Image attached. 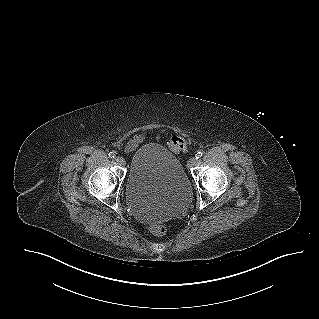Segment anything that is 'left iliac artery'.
Wrapping results in <instances>:
<instances>
[{
	"instance_id": "1",
	"label": "left iliac artery",
	"mask_w": 319,
	"mask_h": 319,
	"mask_svg": "<svg viewBox=\"0 0 319 319\" xmlns=\"http://www.w3.org/2000/svg\"><path fill=\"white\" fill-rule=\"evenodd\" d=\"M203 156V152L199 151L197 152V154L195 155L196 159H199Z\"/></svg>"
}]
</instances>
